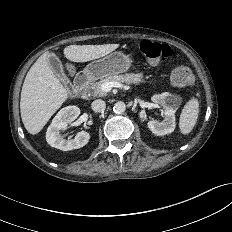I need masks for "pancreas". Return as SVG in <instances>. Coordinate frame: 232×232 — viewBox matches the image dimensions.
<instances>
[{"label": "pancreas", "mask_w": 232, "mask_h": 232, "mask_svg": "<svg viewBox=\"0 0 232 232\" xmlns=\"http://www.w3.org/2000/svg\"><path fill=\"white\" fill-rule=\"evenodd\" d=\"M144 75L143 73H127L124 75H109L106 76L105 78L101 79L98 82L91 83L90 88H91V94L92 96L96 97H103L107 95V92L103 91L101 89L102 84L105 82H122L126 84H139L143 82Z\"/></svg>", "instance_id": "cf45deb5"}]
</instances>
